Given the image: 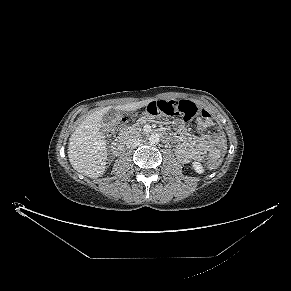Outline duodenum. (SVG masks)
I'll use <instances>...</instances> for the list:
<instances>
[{
	"label": "duodenum",
	"instance_id": "410a0bca",
	"mask_svg": "<svg viewBox=\"0 0 291 291\" xmlns=\"http://www.w3.org/2000/svg\"><path fill=\"white\" fill-rule=\"evenodd\" d=\"M127 140H128V137H127V136H120V137H118V138L113 142V144H112V150H113V152H114L115 154L120 153V152L123 150V148H124V146H125Z\"/></svg>",
	"mask_w": 291,
	"mask_h": 291
}]
</instances>
